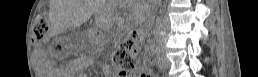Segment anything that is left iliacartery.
I'll use <instances>...</instances> for the list:
<instances>
[{"mask_svg":"<svg viewBox=\"0 0 258 77\" xmlns=\"http://www.w3.org/2000/svg\"><path fill=\"white\" fill-rule=\"evenodd\" d=\"M154 51V54H156L157 53V49H155V50H153Z\"/></svg>","mask_w":258,"mask_h":77,"instance_id":"obj_1","label":"left iliac artery"}]
</instances>
